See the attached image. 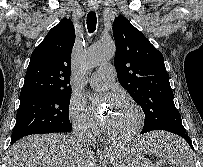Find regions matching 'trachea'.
Wrapping results in <instances>:
<instances>
[{"label":"trachea","mask_w":203,"mask_h":167,"mask_svg":"<svg viewBox=\"0 0 203 167\" xmlns=\"http://www.w3.org/2000/svg\"><path fill=\"white\" fill-rule=\"evenodd\" d=\"M97 17L94 11H91L87 15V29L89 33H93L96 29Z\"/></svg>","instance_id":"3493384b"}]
</instances>
